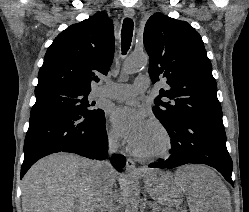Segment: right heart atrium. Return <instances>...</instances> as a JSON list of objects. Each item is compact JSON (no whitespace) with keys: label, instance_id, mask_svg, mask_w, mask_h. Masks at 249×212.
<instances>
[{"label":"right heart atrium","instance_id":"obj_1","mask_svg":"<svg viewBox=\"0 0 249 212\" xmlns=\"http://www.w3.org/2000/svg\"><path fill=\"white\" fill-rule=\"evenodd\" d=\"M106 138H107V142L110 146H112V147L116 146L117 138L110 129L106 130Z\"/></svg>","mask_w":249,"mask_h":212}]
</instances>
